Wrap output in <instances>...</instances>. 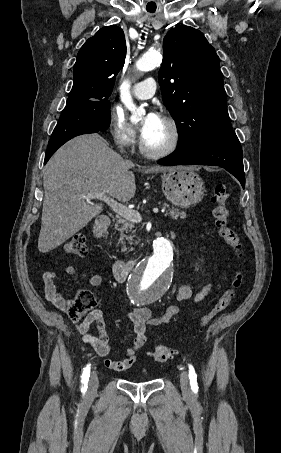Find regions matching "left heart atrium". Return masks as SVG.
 I'll list each match as a JSON object with an SVG mask.
<instances>
[{
    "instance_id": "obj_1",
    "label": "left heart atrium",
    "mask_w": 281,
    "mask_h": 453,
    "mask_svg": "<svg viewBox=\"0 0 281 453\" xmlns=\"http://www.w3.org/2000/svg\"><path fill=\"white\" fill-rule=\"evenodd\" d=\"M161 120L159 114L155 110H151L144 118L140 130L142 136L146 135L148 131L154 126L157 122Z\"/></svg>"
}]
</instances>
